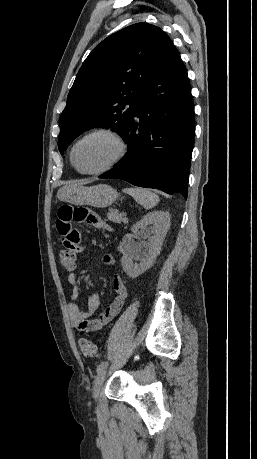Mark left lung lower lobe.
<instances>
[{
  "label": "left lung lower lobe",
  "mask_w": 257,
  "mask_h": 459,
  "mask_svg": "<svg viewBox=\"0 0 257 459\" xmlns=\"http://www.w3.org/2000/svg\"><path fill=\"white\" fill-rule=\"evenodd\" d=\"M195 115L186 68L176 48L143 89L123 139L126 156L100 178L123 179L187 198Z\"/></svg>",
  "instance_id": "left-lung-lower-lobe-1"
}]
</instances>
